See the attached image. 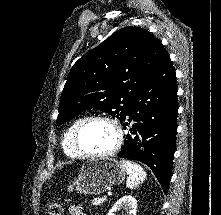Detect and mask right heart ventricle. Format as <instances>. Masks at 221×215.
<instances>
[{
    "instance_id": "right-heart-ventricle-1",
    "label": "right heart ventricle",
    "mask_w": 221,
    "mask_h": 215,
    "mask_svg": "<svg viewBox=\"0 0 221 215\" xmlns=\"http://www.w3.org/2000/svg\"><path fill=\"white\" fill-rule=\"evenodd\" d=\"M85 117H79L73 120L64 132L62 146L65 154L71 158H78L81 155L74 145V134L77 127L83 122Z\"/></svg>"
}]
</instances>
